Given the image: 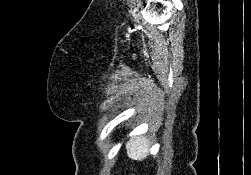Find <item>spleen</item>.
<instances>
[{
    "instance_id": "obj_1",
    "label": "spleen",
    "mask_w": 251,
    "mask_h": 175,
    "mask_svg": "<svg viewBox=\"0 0 251 175\" xmlns=\"http://www.w3.org/2000/svg\"><path fill=\"white\" fill-rule=\"evenodd\" d=\"M126 147L131 159H144L149 153L150 141L145 135H139V137L129 139Z\"/></svg>"
}]
</instances>
